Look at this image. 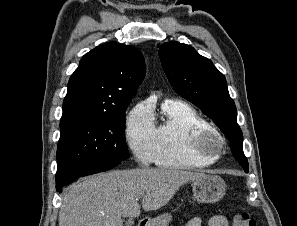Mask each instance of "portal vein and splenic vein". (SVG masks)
Here are the masks:
<instances>
[{"instance_id": "portal-vein-and-splenic-vein-1", "label": "portal vein and splenic vein", "mask_w": 297, "mask_h": 226, "mask_svg": "<svg viewBox=\"0 0 297 226\" xmlns=\"http://www.w3.org/2000/svg\"><path fill=\"white\" fill-rule=\"evenodd\" d=\"M136 200L139 201L140 200V197L136 198Z\"/></svg>"}]
</instances>
